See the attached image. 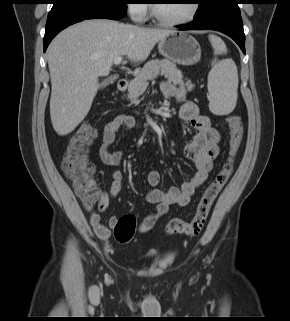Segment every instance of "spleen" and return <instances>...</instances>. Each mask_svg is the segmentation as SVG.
I'll return each mask as SVG.
<instances>
[{
  "mask_svg": "<svg viewBox=\"0 0 290 321\" xmlns=\"http://www.w3.org/2000/svg\"><path fill=\"white\" fill-rule=\"evenodd\" d=\"M214 54H225L227 48L223 40L215 35H209ZM238 72L232 59L212 61L208 75V91L210 96L209 109L216 115L231 113L237 102Z\"/></svg>",
  "mask_w": 290,
  "mask_h": 321,
  "instance_id": "3e777b00",
  "label": "spleen"
}]
</instances>
